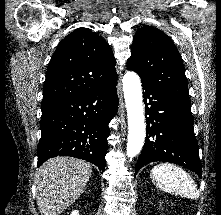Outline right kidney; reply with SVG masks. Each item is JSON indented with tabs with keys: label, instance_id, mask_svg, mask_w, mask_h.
<instances>
[{
	"label": "right kidney",
	"instance_id": "ca27d5eb",
	"mask_svg": "<svg viewBox=\"0 0 221 215\" xmlns=\"http://www.w3.org/2000/svg\"><path fill=\"white\" fill-rule=\"evenodd\" d=\"M70 215H80L78 210H74L72 211V213Z\"/></svg>",
	"mask_w": 221,
	"mask_h": 215
}]
</instances>
